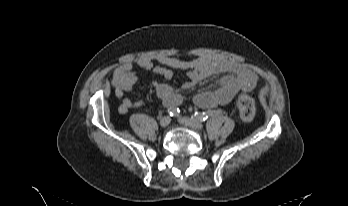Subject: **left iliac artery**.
<instances>
[{"label": "left iliac artery", "instance_id": "44dca946", "mask_svg": "<svg viewBox=\"0 0 348 206\" xmlns=\"http://www.w3.org/2000/svg\"><path fill=\"white\" fill-rule=\"evenodd\" d=\"M225 113L224 109H219V112H215V111H208V112H195L192 115V119L196 120V121H205L207 120L209 117H212L215 115L216 118H219L221 115H223Z\"/></svg>", "mask_w": 348, "mask_h": 206}]
</instances>
